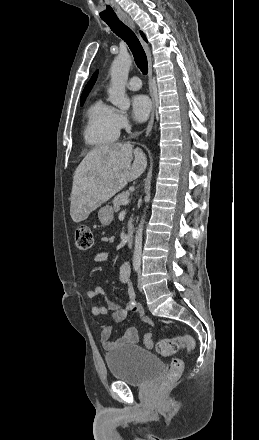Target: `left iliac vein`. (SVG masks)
<instances>
[{"label": "left iliac vein", "mask_w": 259, "mask_h": 440, "mask_svg": "<svg viewBox=\"0 0 259 440\" xmlns=\"http://www.w3.org/2000/svg\"><path fill=\"white\" fill-rule=\"evenodd\" d=\"M138 288H139L140 291L143 290V288H142V274H141V270H139V272H138Z\"/></svg>", "instance_id": "4c4485c4"}]
</instances>
